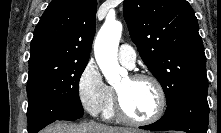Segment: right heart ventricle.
Listing matches in <instances>:
<instances>
[{
	"label": "right heart ventricle",
	"instance_id": "e07e8e85",
	"mask_svg": "<svg viewBox=\"0 0 221 133\" xmlns=\"http://www.w3.org/2000/svg\"><path fill=\"white\" fill-rule=\"evenodd\" d=\"M111 92H112V99L107 107V109L104 111L103 115L105 118H112L115 115V95H114V91L112 88Z\"/></svg>",
	"mask_w": 221,
	"mask_h": 133
}]
</instances>
